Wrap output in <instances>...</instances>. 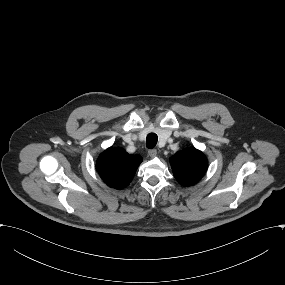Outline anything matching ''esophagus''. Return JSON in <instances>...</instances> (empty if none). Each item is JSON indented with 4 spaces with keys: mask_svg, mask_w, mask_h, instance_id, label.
<instances>
[{
    "mask_svg": "<svg viewBox=\"0 0 285 285\" xmlns=\"http://www.w3.org/2000/svg\"><path fill=\"white\" fill-rule=\"evenodd\" d=\"M148 155H149L151 158H154V157L157 155V150L154 149V148L148 150Z\"/></svg>",
    "mask_w": 285,
    "mask_h": 285,
    "instance_id": "esophagus-1",
    "label": "esophagus"
}]
</instances>
